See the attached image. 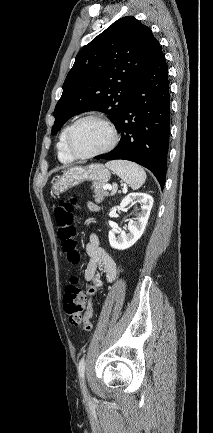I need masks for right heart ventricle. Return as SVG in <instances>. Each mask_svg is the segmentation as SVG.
<instances>
[{
	"label": "right heart ventricle",
	"mask_w": 213,
	"mask_h": 433,
	"mask_svg": "<svg viewBox=\"0 0 213 433\" xmlns=\"http://www.w3.org/2000/svg\"><path fill=\"white\" fill-rule=\"evenodd\" d=\"M70 125L64 127L61 131L58 142H57V156L58 159L63 163L72 162L75 158L68 152L66 147V135Z\"/></svg>",
	"instance_id": "obj_1"
}]
</instances>
